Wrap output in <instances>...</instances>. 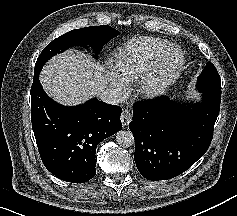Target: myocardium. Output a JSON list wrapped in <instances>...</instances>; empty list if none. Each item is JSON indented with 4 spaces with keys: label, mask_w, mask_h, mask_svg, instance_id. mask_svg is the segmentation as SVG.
I'll return each mask as SVG.
<instances>
[{
    "label": "myocardium",
    "mask_w": 237,
    "mask_h": 216,
    "mask_svg": "<svg viewBox=\"0 0 237 216\" xmlns=\"http://www.w3.org/2000/svg\"><path fill=\"white\" fill-rule=\"evenodd\" d=\"M171 49L176 50L179 57L176 72L171 76L160 79L156 76V74L166 53ZM184 64L185 51L183 50V48L179 44L169 42L160 50L159 54L157 55L156 62L141 76L137 86L133 91L134 97H145L147 99L156 98L165 90L169 89L177 83L182 74Z\"/></svg>",
    "instance_id": "myocardium-1"
}]
</instances>
